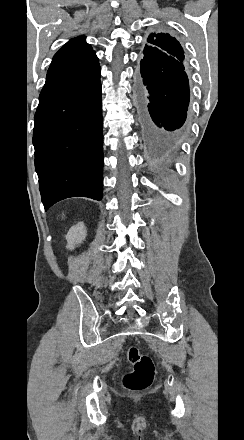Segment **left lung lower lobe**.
Returning a JSON list of instances; mask_svg holds the SVG:
<instances>
[{
    "instance_id": "1",
    "label": "left lung lower lobe",
    "mask_w": 244,
    "mask_h": 440,
    "mask_svg": "<svg viewBox=\"0 0 244 440\" xmlns=\"http://www.w3.org/2000/svg\"><path fill=\"white\" fill-rule=\"evenodd\" d=\"M183 63L146 59L136 72V102L142 143L153 152L177 148L187 133L190 91Z\"/></svg>"
}]
</instances>
